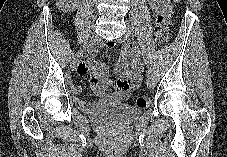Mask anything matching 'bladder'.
<instances>
[{
  "label": "bladder",
  "instance_id": "31cf9c89",
  "mask_svg": "<svg viewBox=\"0 0 227 157\" xmlns=\"http://www.w3.org/2000/svg\"><path fill=\"white\" fill-rule=\"evenodd\" d=\"M142 113L140 108L129 104L116 103L111 105H106L105 107L94 111L91 115L93 118L112 123H127L137 117Z\"/></svg>",
  "mask_w": 227,
  "mask_h": 157
}]
</instances>
